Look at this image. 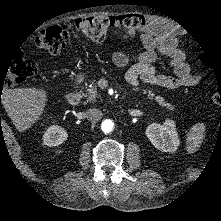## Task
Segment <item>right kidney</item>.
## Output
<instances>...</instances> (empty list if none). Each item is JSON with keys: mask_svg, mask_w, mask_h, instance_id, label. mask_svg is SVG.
Segmentation results:
<instances>
[{"mask_svg": "<svg viewBox=\"0 0 221 221\" xmlns=\"http://www.w3.org/2000/svg\"><path fill=\"white\" fill-rule=\"evenodd\" d=\"M68 131L55 120L49 121L42 130L41 142L47 147H57L68 139Z\"/></svg>", "mask_w": 221, "mask_h": 221, "instance_id": "obj_1", "label": "right kidney"}]
</instances>
